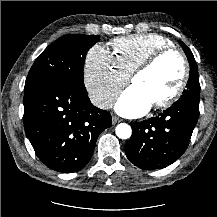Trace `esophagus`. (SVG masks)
I'll use <instances>...</instances> for the list:
<instances>
[{
	"instance_id": "obj_1",
	"label": "esophagus",
	"mask_w": 217,
	"mask_h": 217,
	"mask_svg": "<svg viewBox=\"0 0 217 217\" xmlns=\"http://www.w3.org/2000/svg\"><path fill=\"white\" fill-rule=\"evenodd\" d=\"M120 121H121V119L118 118L117 116H113V117H112V124H113V125L116 124V123H118V122H120Z\"/></svg>"
}]
</instances>
